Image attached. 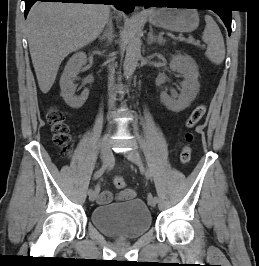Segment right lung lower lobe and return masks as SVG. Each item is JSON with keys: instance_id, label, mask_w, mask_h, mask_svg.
Returning a JSON list of instances; mask_svg holds the SVG:
<instances>
[{"instance_id": "right-lung-lower-lobe-1", "label": "right lung lower lobe", "mask_w": 259, "mask_h": 266, "mask_svg": "<svg viewBox=\"0 0 259 266\" xmlns=\"http://www.w3.org/2000/svg\"><path fill=\"white\" fill-rule=\"evenodd\" d=\"M24 1H25V16H27L31 6L36 1L115 5L118 9L123 10L126 13L133 11L135 7V4L131 0H24Z\"/></svg>"}]
</instances>
